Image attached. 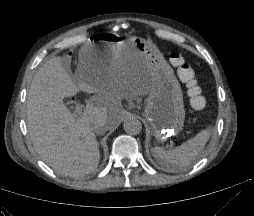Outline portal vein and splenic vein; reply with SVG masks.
Wrapping results in <instances>:
<instances>
[{
    "mask_svg": "<svg viewBox=\"0 0 254 216\" xmlns=\"http://www.w3.org/2000/svg\"><path fill=\"white\" fill-rule=\"evenodd\" d=\"M83 111V106L80 103H77L75 106V115L80 116Z\"/></svg>",
    "mask_w": 254,
    "mask_h": 216,
    "instance_id": "18ae733b",
    "label": "portal vein and splenic vein"
}]
</instances>
